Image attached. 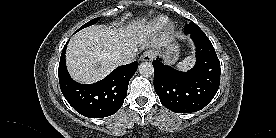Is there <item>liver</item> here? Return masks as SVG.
I'll return each mask as SVG.
<instances>
[{
  "label": "liver",
  "instance_id": "obj_1",
  "mask_svg": "<svg viewBox=\"0 0 276 138\" xmlns=\"http://www.w3.org/2000/svg\"><path fill=\"white\" fill-rule=\"evenodd\" d=\"M170 39L151 37L145 20L134 21L120 30L102 25L87 27L69 41L66 65L71 77L82 83H94L106 77L119 63L116 54L125 48L166 47Z\"/></svg>",
  "mask_w": 276,
  "mask_h": 138
}]
</instances>
